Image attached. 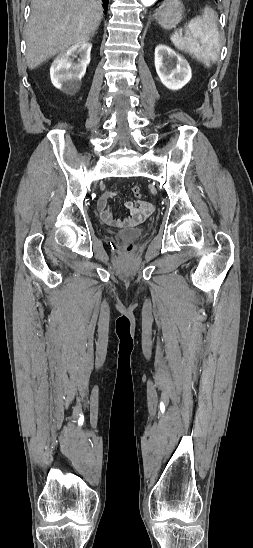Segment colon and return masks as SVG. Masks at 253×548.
<instances>
[{"label": "colon", "mask_w": 253, "mask_h": 548, "mask_svg": "<svg viewBox=\"0 0 253 548\" xmlns=\"http://www.w3.org/2000/svg\"><path fill=\"white\" fill-rule=\"evenodd\" d=\"M132 193L133 195L136 197V198H140L142 193H141V189L139 186H134L132 188ZM127 252H131L133 250V245L131 243H128L125 248H124Z\"/></svg>", "instance_id": "1"}]
</instances>
